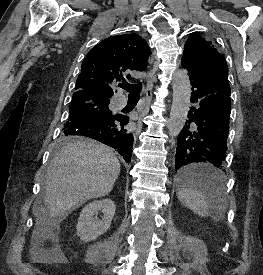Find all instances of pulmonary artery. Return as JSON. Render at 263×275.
I'll list each match as a JSON object with an SVG mask.
<instances>
[{"mask_svg":"<svg viewBox=\"0 0 263 275\" xmlns=\"http://www.w3.org/2000/svg\"><path fill=\"white\" fill-rule=\"evenodd\" d=\"M126 104V98L122 95H118L115 97L113 105L115 108L119 109L124 107Z\"/></svg>","mask_w":263,"mask_h":275,"instance_id":"pulmonary-artery-1","label":"pulmonary artery"}]
</instances>
